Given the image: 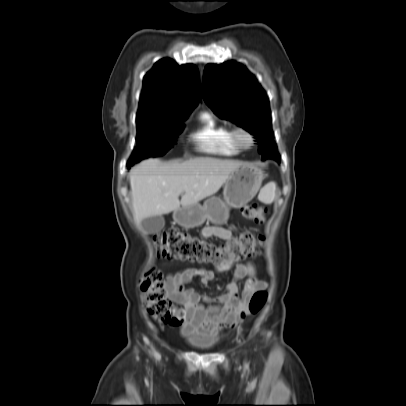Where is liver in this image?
I'll list each match as a JSON object with an SVG mask.
<instances>
[{
  "label": "liver",
  "mask_w": 406,
  "mask_h": 406,
  "mask_svg": "<svg viewBox=\"0 0 406 406\" xmlns=\"http://www.w3.org/2000/svg\"><path fill=\"white\" fill-rule=\"evenodd\" d=\"M240 161L198 157L181 163L147 159L129 172L134 219L168 214L218 192ZM181 200L179 195L183 193Z\"/></svg>",
  "instance_id": "obj_1"
}]
</instances>
